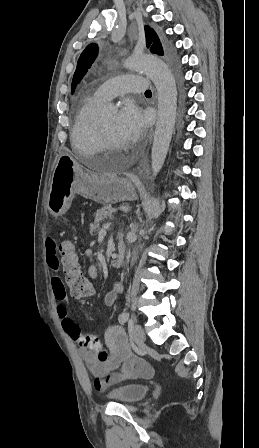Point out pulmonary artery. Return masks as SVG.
Here are the masks:
<instances>
[{
  "mask_svg": "<svg viewBox=\"0 0 259 448\" xmlns=\"http://www.w3.org/2000/svg\"><path fill=\"white\" fill-rule=\"evenodd\" d=\"M137 76L134 75H120L111 79L110 81L100 85L96 91L97 95L103 101L110 100L111 98L118 96L127 91L125 87L116 85L117 81L135 79Z\"/></svg>",
  "mask_w": 259,
  "mask_h": 448,
  "instance_id": "e3ab8cb5",
  "label": "pulmonary artery"
}]
</instances>
